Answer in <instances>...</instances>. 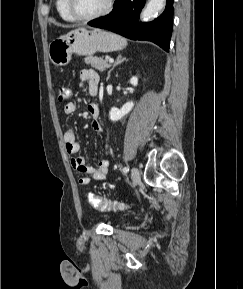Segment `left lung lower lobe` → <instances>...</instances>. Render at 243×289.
Masks as SVG:
<instances>
[{"instance_id": "left-lung-lower-lobe-1", "label": "left lung lower lobe", "mask_w": 243, "mask_h": 289, "mask_svg": "<svg viewBox=\"0 0 243 289\" xmlns=\"http://www.w3.org/2000/svg\"><path fill=\"white\" fill-rule=\"evenodd\" d=\"M146 0H116L108 15L88 22L90 26L108 29L132 40H147L169 51L173 26V0H167L165 11L154 21L139 23Z\"/></svg>"}]
</instances>
